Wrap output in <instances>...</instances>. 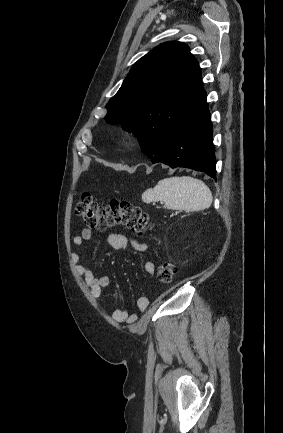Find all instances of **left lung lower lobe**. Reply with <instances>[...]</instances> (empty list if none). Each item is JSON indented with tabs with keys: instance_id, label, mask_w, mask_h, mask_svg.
I'll return each instance as SVG.
<instances>
[{
	"instance_id": "0a47b994",
	"label": "left lung lower lobe",
	"mask_w": 283,
	"mask_h": 433,
	"mask_svg": "<svg viewBox=\"0 0 283 433\" xmlns=\"http://www.w3.org/2000/svg\"><path fill=\"white\" fill-rule=\"evenodd\" d=\"M203 108L175 124L156 125L146 135L142 152L152 163L203 171L216 180L212 123L204 89ZM147 133V131H146Z\"/></svg>"
}]
</instances>
